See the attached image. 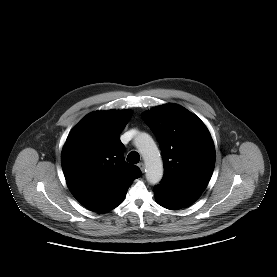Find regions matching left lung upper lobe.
Instances as JSON below:
<instances>
[{
  "label": "left lung upper lobe",
  "instance_id": "1",
  "mask_svg": "<svg viewBox=\"0 0 277 277\" xmlns=\"http://www.w3.org/2000/svg\"><path fill=\"white\" fill-rule=\"evenodd\" d=\"M143 120L159 141L164 161L161 185L201 194L215 165V148L204 123L177 104L158 106Z\"/></svg>",
  "mask_w": 277,
  "mask_h": 277
}]
</instances>
